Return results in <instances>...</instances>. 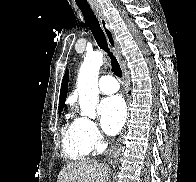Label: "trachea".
I'll list each match as a JSON object with an SVG mask.
<instances>
[{
    "label": "trachea",
    "mask_w": 196,
    "mask_h": 182,
    "mask_svg": "<svg viewBox=\"0 0 196 182\" xmlns=\"http://www.w3.org/2000/svg\"><path fill=\"white\" fill-rule=\"evenodd\" d=\"M79 8L84 16V19H85L87 26L89 27V29L91 30V32L93 34L98 46L102 50H104L107 53V55L109 56L112 71L114 72V74L116 76L121 77V75H122L121 67H120L116 57L110 51L106 37L104 35V32H103L102 28L100 27L99 21L96 18V16L94 15L92 9L90 7H83V6H79Z\"/></svg>",
    "instance_id": "trachea-1"
}]
</instances>
